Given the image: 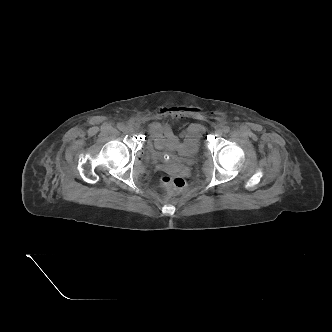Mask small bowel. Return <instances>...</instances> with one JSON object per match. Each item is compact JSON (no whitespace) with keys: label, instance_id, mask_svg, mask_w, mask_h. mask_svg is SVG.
<instances>
[{"label":"small bowel","instance_id":"small-bowel-1","mask_svg":"<svg viewBox=\"0 0 332 332\" xmlns=\"http://www.w3.org/2000/svg\"><path fill=\"white\" fill-rule=\"evenodd\" d=\"M186 112L187 109L181 107H165L156 113V118H182ZM148 131L157 149L178 151L183 146L198 143L204 129L200 124H191L180 135H176L171 124L152 121L148 126Z\"/></svg>","mask_w":332,"mask_h":332}]
</instances>
